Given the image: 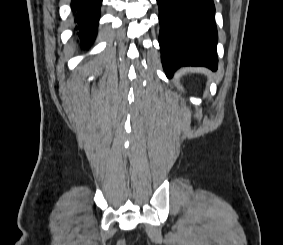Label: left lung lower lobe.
<instances>
[{
	"mask_svg": "<svg viewBox=\"0 0 283 245\" xmlns=\"http://www.w3.org/2000/svg\"><path fill=\"white\" fill-rule=\"evenodd\" d=\"M161 58L167 77L181 66L215 71L217 28L213 0H157Z\"/></svg>",
	"mask_w": 283,
	"mask_h": 245,
	"instance_id": "left-lung-lower-lobe-1",
	"label": "left lung lower lobe"
}]
</instances>
